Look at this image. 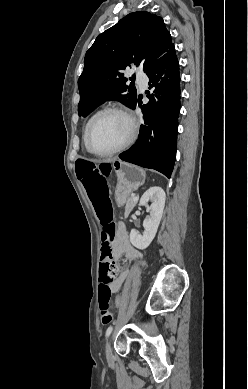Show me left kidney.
Segmentation results:
<instances>
[{
    "label": "left kidney",
    "mask_w": 248,
    "mask_h": 389,
    "mask_svg": "<svg viewBox=\"0 0 248 389\" xmlns=\"http://www.w3.org/2000/svg\"><path fill=\"white\" fill-rule=\"evenodd\" d=\"M152 204L149 207L148 202ZM140 205L145 206L150 212V216L143 222V235L139 234L135 229L130 232V242L138 249H146L154 239L160 220L163 214L165 205V192L159 186H154L148 189L140 199Z\"/></svg>",
    "instance_id": "5707ae66"
}]
</instances>
